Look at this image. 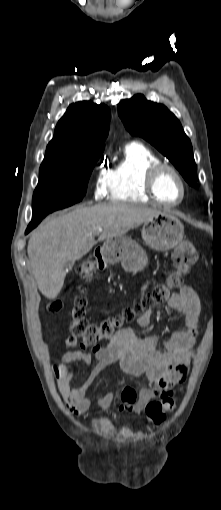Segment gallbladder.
<instances>
[{
  "instance_id": "gallbladder-1",
  "label": "gallbladder",
  "mask_w": 221,
  "mask_h": 510,
  "mask_svg": "<svg viewBox=\"0 0 221 510\" xmlns=\"http://www.w3.org/2000/svg\"><path fill=\"white\" fill-rule=\"evenodd\" d=\"M70 265V263L65 264V268H68Z\"/></svg>"
}]
</instances>
